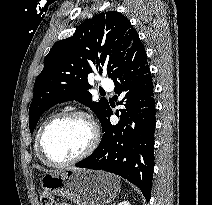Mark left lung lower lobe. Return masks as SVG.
Instances as JSON below:
<instances>
[{
	"label": "left lung lower lobe",
	"mask_w": 212,
	"mask_h": 205,
	"mask_svg": "<svg viewBox=\"0 0 212 205\" xmlns=\"http://www.w3.org/2000/svg\"><path fill=\"white\" fill-rule=\"evenodd\" d=\"M115 92L124 93L120 121L110 123V106L100 121L103 138L97 149L75 166L104 170L138 186L147 201L151 197L154 165L155 101L147 55L139 36L111 77ZM121 102V103H122Z\"/></svg>",
	"instance_id": "left-lung-lower-lobe-1"
}]
</instances>
